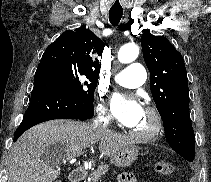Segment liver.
I'll list each match as a JSON object with an SVG mask.
<instances>
[{
  "mask_svg": "<svg viewBox=\"0 0 211 182\" xmlns=\"http://www.w3.org/2000/svg\"><path fill=\"white\" fill-rule=\"evenodd\" d=\"M97 142L101 154L112 157L135 140L79 121L55 120L38 124L26 131L14 145L8 182H53L60 175L56 166L62 159ZM56 143L63 145V155L55 161L45 159L46 148Z\"/></svg>",
  "mask_w": 211,
  "mask_h": 182,
  "instance_id": "1",
  "label": "liver"
}]
</instances>
